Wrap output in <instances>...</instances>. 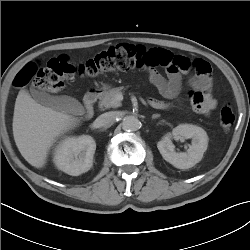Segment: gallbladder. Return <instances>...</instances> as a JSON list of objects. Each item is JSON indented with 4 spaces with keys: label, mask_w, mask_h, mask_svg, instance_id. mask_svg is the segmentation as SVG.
Listing matches in <instances>:
<instances>
[{
    "label": "gallbladder",
    "mask_w": 250,
    "mask_h": 250,
    "mask_svg": "<svg viewBox=\"0 0 250 250\" xmlns=\"http://www.w3.org/2000/svg\"><path fill=\"white\" fill-rule=\"evenodd\" d=\"M32 96L40 104L49 107L55 111L74 115L84 113V107L82 106V104L78 100L66 95L52 96L46 92L33 89Z\"/></svg>",
    "instance_id": "bac80fb5"
}]
</instances>
